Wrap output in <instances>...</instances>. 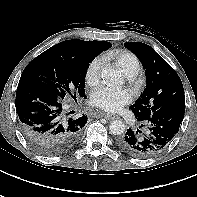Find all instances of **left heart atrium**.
I'll list each match as a JSON object with an SVG mask.
<instances>
[{
	"label": "left heart atrium",
	"mask_w": 197,
	"mask_h": 197,
	"mask_svg": "<svg viewBox=\"0 0 197 197\" xmlns=\"http://www.w3.org/2000/svg\"><path fill=\"white\" fill-rule=\"evenodd\" d=\"M132 101V94L127 89L101 86L91 96V103L96 108L107 112H117Z\"/></svg>",
	"instance_id": "1"
}]
</instances>
